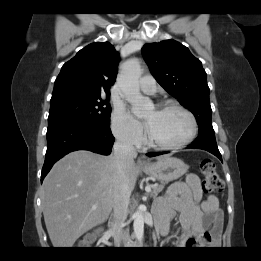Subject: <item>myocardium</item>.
Segmentation results:
<instances>
[{
  "label": "myocardium",
  "instance_id": "1",
  "mask_svg": "<svg viewBox=\"0 0 261 261\" xmlns=\"http://www.w3.org/2000/svg\"><path fill=\"white\" fill-rule=\"evenodd\" d=\"M170 109L181 111L183 114L187 116L190 122V131L184 139H182L179 142L171 143V144H165V143H160L155 141L151 137L149 131H147V144L152 148H156L160 150L181 149L187 146L188 144H190L193 141V139L196 137L198 131V124L194 114L189 109H187L186 107H184L183 105L177 102L168 101V102L161 103L159 105V110H170Z\"/></svg>",
  "mask_w": 261,
  "mask_h": 261
}]
</instances>
